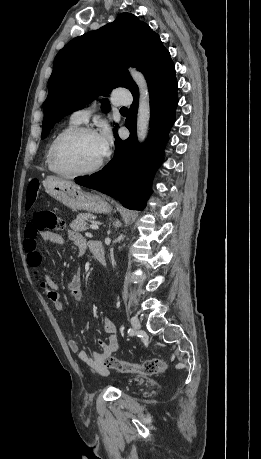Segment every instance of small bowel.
Instances as JSON below:
<instances>
[{
    "instance_id": "c3829d8e",
    "label": "small bowel",
    "mask_w": 261,
    "mask_h": 459,
    "mask_svg": "<svg viewBox=\"0 0 261 459\" xmlns=\"http://www.w3.org/2000/svg\"><path fill=\"white\" fill-rule=\"evenodd\" d=\"M69 237L77 246L80 254H84L87 248L91 249V243H87L79 233L70 231ZM39 239L51 242L56 245H62L65 241L62 235L48 230L38 231L35 238H26L24 234L23 246L27 252V264L35 272H38L42 262V254L37 247ZM40 286L54 307L60 312H65L66 308L58 293L57 284L53 281L49 273H46L41 278ZM69 290L75 299H83V293L81 290V277L79 273H76L70 281ZM103 330L106 334V339L99 341L101 352H94L92 356H89L86 351L81 350L79 343L76 340L72 339L68 342L70 350L74 353H77L78 358L83 363L99 373L106 372V358L116 352L119 347L118 339L116 336V327L112 320L109 318L103 319Z\"/></svg>"
}]
</instances>
